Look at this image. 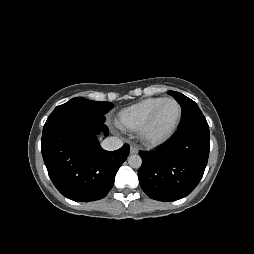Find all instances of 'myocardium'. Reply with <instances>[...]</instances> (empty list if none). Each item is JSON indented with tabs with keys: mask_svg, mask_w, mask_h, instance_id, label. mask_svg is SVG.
I'll return each mask as SVG.
<instances>
[{
	"mask_svg": "<svg viewBox=\"0 0 254 254\" xmlns=\"http://www.w3.org/2000/svg\"><path fill=\"white\" fill-rule=\"evenodd\" d=\"M166 102H174L177 104L179 112H178V116L177 119L173 125V127L163 136L158 137V138H153L149 135V130L159 112V110L161 109L162 105ZM182 106L180 104V102L174 98H164L154 109L153 111L150 113V115L148 116V118L144 121V123L142 124V126L139 129V134L140 137L142 139V141L148 145V146H160L162 144H164L165 142H167L176 132V130L178 129V126L180 124L181 118H182Z\"/></svg>",
	"mask_w": 254,
	"mask_h": 254,
	"instance_id": "f54148a6",
	"label": "myocardium"
}]
</instances>
